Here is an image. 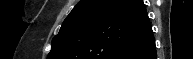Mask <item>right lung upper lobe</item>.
Listing matches in <instances>:
<instances>
[{
	"instance_id": "1",
	"label": "right lung upper lobe",
	"mask_w": 193,
	"mask_h": 59,
	"mask_svg": "<svg viewBox=\"0 0 193 59\" xmlns=\"http://www.w3.org/2000/svg\"><path fill=\"white\" fill-rule=\"evenodd\" d=\"M153 35L142 0H81L47 59H123Z\"/></svg>"
}]
</instances>
